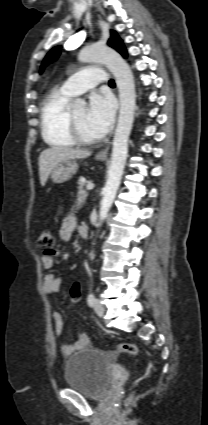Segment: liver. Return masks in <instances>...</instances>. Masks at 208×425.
<instances>
[{
	"mask_svg": "<svg viewBox=\"0 0 208 425\" xmlns=\"http://www.w3.org/2000/svg\"><path fill=\"white\" fill-rule=\"evenodd\" d=\"M91 155L90 151L69 147H52L45 149L39 156V175L41 186H44L54 167L63 161L84 159Z\"/></svg>",
	"mask_w": 208,
	"mask_h": 425,
	"instance_id": "6515ba94",
	"label": "liver"
}]
</instances>
